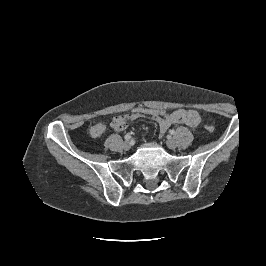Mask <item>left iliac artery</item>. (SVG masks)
I'll use <instances>...</instances> for the list:
<instances>
[{
    "mask_svg": "<svg viewBox=\"0 0 266 266\" xmlns=\"http://www.w3.org/2000/svg\"><path fill=\"white\" fill-rule=\"evenodd\" d=\"M170 134L171 135H174L175 134V131L174 130H170Z\"/></svg>",
    "mask_w": 266,
    "mask_h": 266,
    "instance_id": "obj_1",
    "label": "left iliac artery"
}]
</instances>
